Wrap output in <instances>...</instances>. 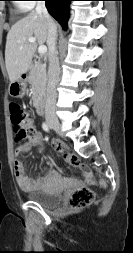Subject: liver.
<instances>
[{
	"label": "liver",
	"mask_w": 133,
	"mask_h": 253,
	"mask_svg": "<svg viewBox=\"0 0 133 253\" xmlns=\"http://www.w3.org/2000/svg\"><path fill=\"white\" fill-rule=\"evenodd\" d=\"M47 35L46 18L35 11L11 27L7 34L5 48V64L11 83L17 81L30 69L37 46L47 41ZM30 37H34L37 42H29Z\"/></svg>",
	"instance_id": "obj_1"
}]
</instances>
